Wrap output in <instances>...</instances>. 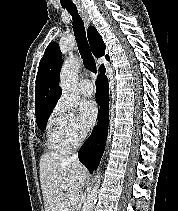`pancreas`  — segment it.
Listing matches in <instances>:
<instances>
[{
	"label": "pancreas",
	"instance_id": "1",
	"mask_svg": "<svg viewBox=\"0 0 178 211\" xmlns=\"http://www.w3.org/2000/svg\"><path fill=\"white\" fill-rule=\"evenodd\" d=\"M70 211H79V207L78 206H75V207L73 206Z\"/></svg>",
	"mask_w": 178,
	"mask_h": 211
}]
</instances>
